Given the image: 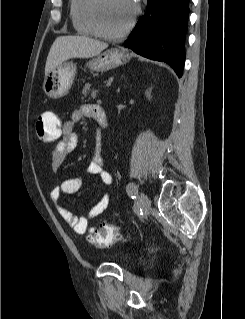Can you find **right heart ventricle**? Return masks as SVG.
I'll return each instance as SVG.
<instances>
[{"label":"right heart ventricle","mask_w":245,"mask_h":319,"mask_svg":"<svg viewBox=\"0 0 245 319\" xmlns=\"http://www.w3.org/2000/svg\"><path fill=\"white\" fill-rule=\"evenodd\" d=\"M92 0H70V18L77 33L95 36L96 31L90 19V5Z\"/></svg>","instance_id":"1"}]
</instances>
